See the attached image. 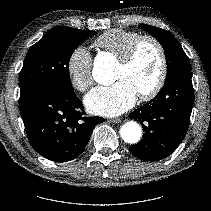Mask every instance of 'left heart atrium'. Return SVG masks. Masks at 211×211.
Listing matches in <instances>:
<instances>
[{
  "label": "left heart atrium",
  "instance_id": "1",
  "mask_svg": "<svg viewBox=\"0 0 211 211\" xmlns=\"http://www.w3.org/2000/svg\"><path fill=\"white\" fill-rule=\"evenodd\" d=\"M137 92L126 80L92 89L84 99L87 110L101 116H117L130 109L137 100Z\"/></svg>",
  "mask_w": 211,
  "mask_h": 211
}]
</instances>
